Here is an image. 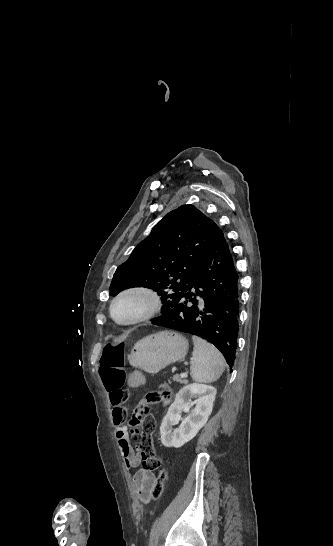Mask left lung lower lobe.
<instances>
[{
    "label": "left lung lower lobe",
    "instance_id": "left-lung-lower-lobe-1",
    "mask_svg": "<svg viewBox=\"0 0 333 546\" xmlns=\"http://www.w3.org/2000/svg\"><path fill=\"white\" fill-rule=\"evenodd\" d=\"M239 297L238 274L223 231L218 227L208 254L187 288L172 298L173 308L152 323L208 340L232 368L239 331Z\"/></svg>",
    "mask_w": 333,
    "mask_h": 546
}]
</instances>
